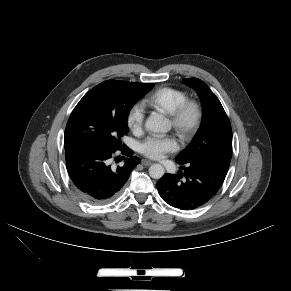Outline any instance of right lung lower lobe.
<instances>
[{"instance_id":"right-lung-lower-lobe-1","label":"right lung lower lobe","mask_w":291,"mask_h":291,"mask_svg":"<svg viewBox=\"0 0 291 291\" xmlns=\"http://www.w3.org/2000/svg\"><path fill=\"white\" fill-rule=\"evenodd\" d=\"M121 150L131 156L123 166L111 167L113 154ZM128 148H105L80 144L65 149L66 167L82 199L91 204H103L113 200L128 180L134 167L140 162Z\"/></svg>"}]
</instances>
